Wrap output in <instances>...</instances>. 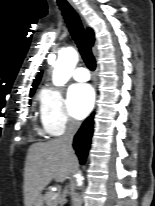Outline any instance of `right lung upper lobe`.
Returning a JSON list of instances; mask_svg holds the SVG:
<instances>
[{"label": "right lung upper lobe", "instance_id": "cb5924a9", "mask_svg": "<svg viewBox=\"0 0 155 206\" xmlns=\"http://www.w3.org/2000/svg\"><path fill=\"white\" fill-rule=\"evenodd\" d=\"M88 35H89V39L91 41V45H93V43H94V33H93V31L91 29H88ZM41 76H42V72L34 80V83L32 85L33 87L31 88L30 94L31 93L34 94V91H35L37 85L39 84V82L41 80Z\"/></svg>", "mask_w": 155, "mask_h": 206}]
</instances>
